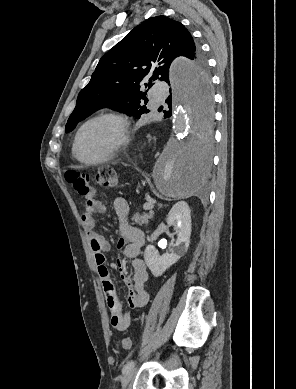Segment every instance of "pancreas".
<instances>
[{"label": "pancreas", "mask_w": 296, "mask_h": 389, "mask_svg": "<svg viewBox=\"0 0 296 389\" xmlns=\"http://www.w3.org/2000/svg\"><path fill=\"white\" fill-rule=\"evenodd\" d=\"M152 217H153L152 211H150L149 213H144V214L136 213L132 217V221H133L132 224H138V225L147 224L149 219H151Z\"/></svg>", "instance_id": "1"}]
</instances>
